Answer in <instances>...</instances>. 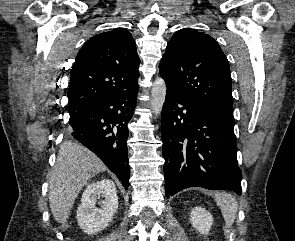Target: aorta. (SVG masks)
Returning <instances> with one entry per match:
<instances>
[{
  "label": "aorta",
  "mask_w": 295,
  "mask_h": 241,
  "mask_svg": "<svg viewBox=\"0 0 295 241\" xmlns=\"http://www.w3.org/2000/svg\"><path fill=\"white\" fill-rule=\"evenodd\" d=\"M166 97V83L164 79L158 77L155 79L151 89L150 106L153 113L157 116L160 115Z\"/></svg>",
  "instance_id": "762f6f07"
}]
</instances>
